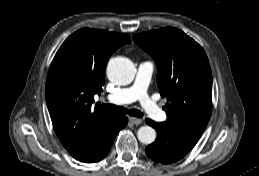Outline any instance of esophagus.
Segmentation results:
<instances>
[{
    "mask_svg": "<svg viewBox=\"0 0 259 176\" xmlns=\"http://www.w3.org/2000/svg\"><path fill=\"white\" fill-rule=\"evenodd\" d=\"M129 121L134 125H140L142 123V119L136 117H130Z\"/></svg>",
    "mask_w": 259,
    "mask_h": 176,
    "instance_id": "34e87169",
    "label": "esophagus"
}]
</instances>
